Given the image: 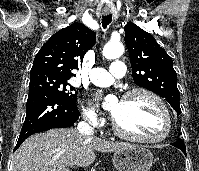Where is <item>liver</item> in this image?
I'll return each mask as SVG.
<instances>
[{
    "mask_svg": "<svg viewBox=\"0 0 199 171\" xmlns=\"http://www.w3.org/2000/svg\"><path fill=\"white\" fill-rule=\"evenodd\" d=\"M129 144L87 136L76 129H51L27 138L12 159V171H70L95 161L94 151L115 152Z\"/></svg>",
    "mask_w": 199,
    "mask_h": 171,
    "instance_id": "6515ba94",
    "label": "liver"
}]
</instances>
